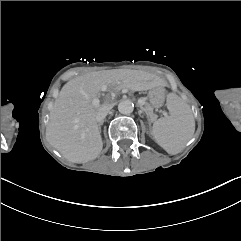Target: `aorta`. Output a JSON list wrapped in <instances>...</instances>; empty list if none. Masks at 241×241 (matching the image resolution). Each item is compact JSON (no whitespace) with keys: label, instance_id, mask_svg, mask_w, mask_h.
<instances>
[{"label":"aorta","instance_id":"aorta-1","mask_svg":"<svg viewBox=\"0 0 241 241\" xmlns=\"http://www.w3.org/2000/svg\"><path fill=\"white\" fill-rule=\"evenodd\" d=\"M118 110L121 114H131L134 110V104L130 100H122L118 104Z\"/></svg>","mask_w":241,"mask_h":241}]
</instances>
